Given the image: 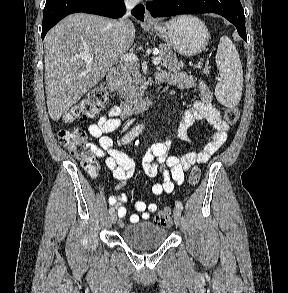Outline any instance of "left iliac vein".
Listing matches in <instances>:
<instances>
[{
    "label": "left iliac vein",
    "mask_w": 288,
    "mask_h": 293,
    "mask_svg": "<svg viewBox=\"0 0 288 293\" xmlns=\"http://www.w3.org/2000/svg\"><path fill=\"white\" fill-rule=\"evenodd\" d=\"M174 221L177 226L181 224V210L179 208H174L173 210Z\"/></svg>",
    "instance_id": "1"
}]
</instances>
